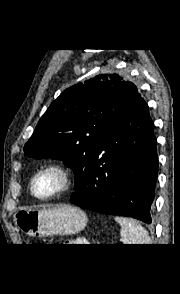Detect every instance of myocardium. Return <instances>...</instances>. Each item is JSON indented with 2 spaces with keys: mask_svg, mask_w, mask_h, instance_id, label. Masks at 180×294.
<instances>
[{
  "mask_svg": "<svg viewBox=\"0 0 180 294\" xmlns=\"http://www.w3.org/2000/svg\"><path fill=\"white\" fill-rule=\"evenodd\" d=\"M47 172L57 173L61 178V185L57 190H55L54 192L48 195H39L35 189L36 179L40 175ZM73 185H74V175L71 168L63 162L55 161L45 165L33 175L30 181V192L32 193V195H34L36 198L40 200H51L70 190L73 187Z\"/></svg>",
  "mask_w": 180,
  "mask_h": 294,
  "instance_id": "myocardium-1",
  "label": "myocardium"
}]
</instances>
